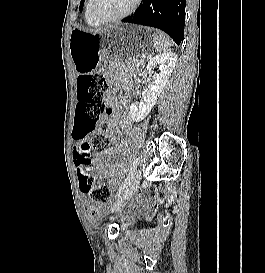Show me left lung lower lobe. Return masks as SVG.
<instances>
[{
	"label": "left lung lower lobe",
	"mask_w": 265,
	"mask_h": 273,
	"mask_svg": "<svg viewBox=\"0 0 265 273\" xmlns=\"http://www.w3.org/2000/svg\"><path fill=\"white\" fill-rule=\"evenodd\" d=\"M186 0H143L134 15L122 20L166 32L176 44L184 39Z\"/></svg>",
	"instance_id": "1"
}]
</instances>
